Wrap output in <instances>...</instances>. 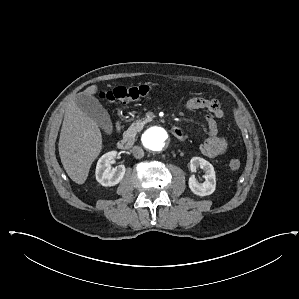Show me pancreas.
Instances as JSON below:
<instances>
[{
    "instance_id": "obj_1",
    "label": "pancreas",
    "mask_w": 299,
    "mask_h": 299,
    "mask_svg": "<svg viewBox=\"0 0 299 299\" xmlns=\"http://www.w3.org/2000/svg\"><path fill=\"white\" fill-rule=\"evenodd\" d=\"M147 120H138L134 122L127 131L124 132V138H135L136 134L143 129L144 124Z\"/></svg>"
}]
</instances>
